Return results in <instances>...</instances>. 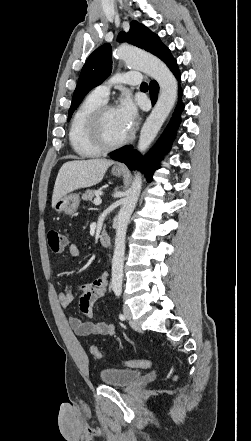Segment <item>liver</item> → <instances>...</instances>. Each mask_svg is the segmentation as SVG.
Segmentation results:
<instances>
[{
    "mask_svg": "<svg viewBox=\"0 0 251 441\" xmlns=\"http://www.w3.org/2000/svg\"><path fill=\"white\" fill-rule=\"evenodd\" d=\"M113 163L106 159L74 160L64 163L55 181L52 207L64 195L98 184Z\"/></svg>",
    "mask_w": 251,
    "mask_h": 441,
    "instance_id": "obj_1",
    "label": "liver"
}]
</instances>
